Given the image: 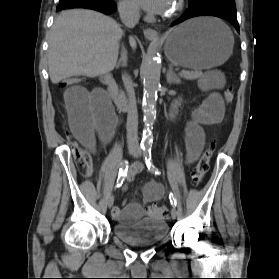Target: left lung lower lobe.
Segmentation results:
<instances>
[{"label":"left lung lower lobe","mask_w":279,"mask_h":279,"mask_svg":"<svg viewBox=\"0 0 279 279\" xmlns=\"http://www.w3.org/2000/svg\"><path fill=\"white\" fill-rule=\"evenodd\" d=\"M189 9L172 26L196 16H216L229 21L239 32L234 0H188Z\"/></svg>","instance_id":"obj_1"}]
</instances>
